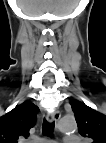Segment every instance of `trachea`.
I'll list each match as a JSON object with an SVG mask.
<instances>
[{
  "label": "trachea",
  "mask_w": 106,
  "mask_h": 143,
  "mask_svg": "<svg viewBox=\"0 0 106 143\" xmlns=\"http://www.w3.org/2000/svg\"><path fill=\"white\" fill-rule=\"evenodd\" d=\"M54 131V123H49L45 119L43 120L42 133L45 136H52Z\"/></svg>",
  "instance_id": "trachea-1"
}]
</instances>
